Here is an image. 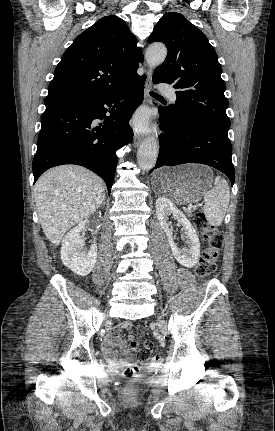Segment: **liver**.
<instances>
[{
  "label": "liver",
  "instance_id": "liver-1",
  "mask_svg": "<svg viewBox=\"0 0 275 431\" xmlns=\"http://www.w3.org/2000/svg\"><path fill=\"white\" fill-rule=\"evenodd\" d=\"M34 196L44 234L58 246L71 227L102 204L105 187L102 179L90 170L63 165L38 179Z\"/></svg>",
  "mask_w": 275,
  "mask_h": 431
}]
</instances>
